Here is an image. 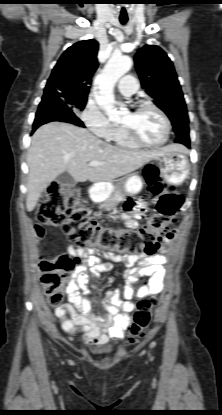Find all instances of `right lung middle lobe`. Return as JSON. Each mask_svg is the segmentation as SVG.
Returning a JSON list of instances; mask_svg holds the SVG:
<instances>
[{
    "instance_id": "right-lung-middle-lobe-1",
    "label": "right lung middle lobe",
    "mask_w": 222,
    "mask_h": 415,
    "mask_svg": "<svg viewBox=\"0 0 222 415\" xmlns=\"http://www.w3.org/2000/svg\"><path fill=\"white\" fill-rule=\"evenodd\" d=\"M59 98L72 110H83L86 102H87V96H77L72 93H58ZM48 98H42V101L40 104H44L48 102Z\"/></svg>"
}]
</instances>
